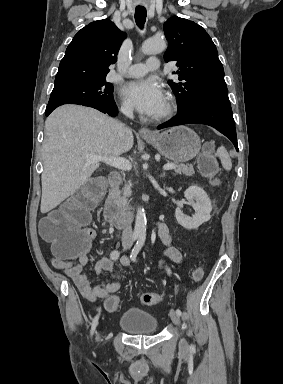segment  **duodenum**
<instances>
[{"label": "duodenum", "mask_w": 283, "mask_h": 384, "mask_svg": "<svg viewBox=\"0 0 283 384\" xmlns=\"http://www.w3.org/2000/svg\"><path fill=\"white\" fill-rule=\"evenodd\" d=\"M109 183L111 185L112 191L107 197L106 203L104 205L103 214L105 220L115 226L118 229H124L129 226V213L124 211L116 201V188L121 183V176L118 172L110 173L108 177ZM150 203L148 206L150 207Z\"/></svg>", "instance_id": "duodenum-1"}]
</instances>
